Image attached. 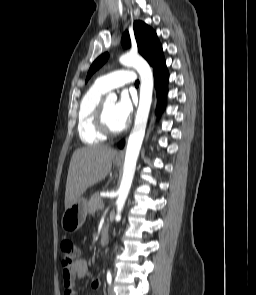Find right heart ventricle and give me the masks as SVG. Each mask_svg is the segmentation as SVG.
Here are the masks:
<instances>
[{"label":"right heart ventricle","mask_w":256,"mask_h":295,"mask_svg":"<svg viewBox=\"0 0 256 295\" xmlns=\"http://www.w3.org/2000/svg\"><path fill=\"white\" fill-rule=\"evenodd\" d=\"M106 92L94 84L83 96L78 111V133L83 143L98 144L105 140L95 124V112Z\"/></svg>","instance_id":"1"}]
</instances>
